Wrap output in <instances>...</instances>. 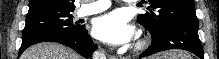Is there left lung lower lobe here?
Wrapping results in <instances>:
<instances>
[{
    "mask_svg": "<svg viewBox=\"0 0 219 59\" xmlns=\"http://www.w3.org/2000/svg\"><path fill=\"white\" fill-rule=\"evenodd\" d=\"M198 26L197 17L188 16L177 21L164 32L155 34L149 30L152 36L151 45L140 54L139 58L165 50L183 49L204 59L202 45L198 36Z\"/></svg>",
    "mask_w": 219,
    "mask_h": 59,
    "instance_id": "1",
    "label": "left lung lower lobe"
}]
</instances>
